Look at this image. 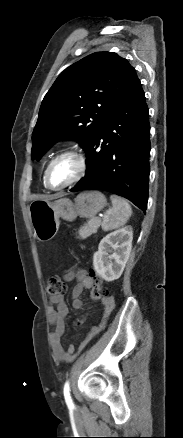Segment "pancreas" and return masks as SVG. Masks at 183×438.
<instances>
[{
  "mask_svg": "<svg viewBox=\"0 0 183 438\" xmlns=\"http://www.w3.org/2000/svg\"><path fill=\"white\" fill-rule=\"evenodd\" d=\"M100 224L101 220L97 217L88 220V222L84 224V226H82L78 231L80 238L86 239L87 237L96 233L98 228L100 227Z\"/></svg>",
  "mask_w": 183,
  "mask_h": 438,
  "instance_id": "1",
  "label": "pancreas"
}]
</instances>
